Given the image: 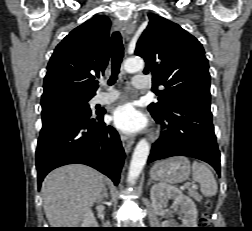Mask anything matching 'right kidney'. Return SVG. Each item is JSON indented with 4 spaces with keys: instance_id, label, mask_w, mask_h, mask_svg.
I'll return each instance as SVG.
<instances>
[{
    "instance_id": "1",
    "label": "right kidney",
    "mask_w": 252,
    "mask_h": 231,
    "mask_svg": "<svg viewBox=\"0 0 252 231\" xmlns=\"http://www.w3.org/2000/svg\"><path fill=\"white\" fill-rule=\"evenodd\" d=\"M82 227L84 228H97L98 224L94 218V215L91 211H87L82 220Z\"/></svg>"
}]
</instances>
